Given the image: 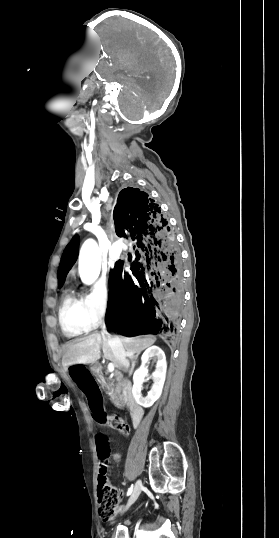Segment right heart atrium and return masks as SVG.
Wrapping results in <instances>:
<instances>
[{
	"label": "right heart atrium",
	"instance_id": "1",
	"mask_svg": "<svg viewBox=\"0 0 279 538\" xmlns=\"http://www.w3.org/2000/svg\"><path fill=\"white\" fill-rule=\"evenodd\" d=\"M84 297L86 318L90 329H94L109 316L112 309L111 296L106 287L94 286Z\"/></svg>",
	"mask_w": 279,
	"mask_h": 538
}]
</instances>
